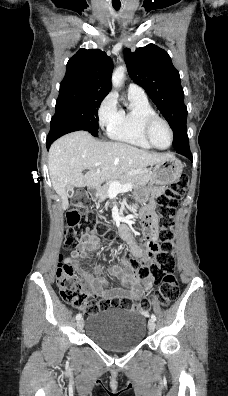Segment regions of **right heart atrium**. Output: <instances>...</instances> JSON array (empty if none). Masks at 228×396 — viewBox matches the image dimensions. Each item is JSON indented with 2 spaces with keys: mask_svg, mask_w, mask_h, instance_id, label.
Returning a JSON list of instances; mask_svg holds the SVG:
<instances>
[{
  "mask_svg": "<svg viewBox=\"0 0 228 396\" xmlns=\"http://www.w3.org/2000/svg\"><path fill=\"white\" fill-rule=\"evenodd\" d=\"M98 123L102 128H109L119 116L117 101L112 94H108L101 101L98 111Z\"/></svg>",
  "mask_w": 228,
  "mask_h": 396,
  "instance_id": "1",
  "label": "right heart atrium"
}]
</instances>
